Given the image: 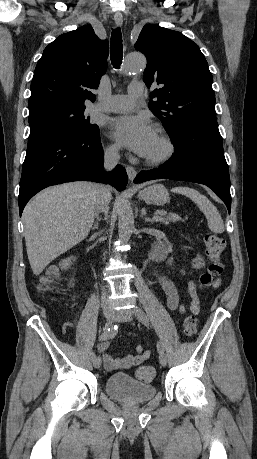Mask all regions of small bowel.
<instances>
[{"mask_svg":"<svg viewBox=\"0 0 257 459\" xmlns=\"http://www.w3.org/2000/svg\"><path fill=\"white\" fill-rule=\"evenodd\" d=\"M189 240V238H187ZM205 264V260L202 256H197L191 262V267L195 270L201 269ZM182 274H186L185 271H182ZM159 284L166 296L167 307L171 311H176L179 313H184L185 306L180 301L179 292L173 283V281L165 274L160 272H155ZM220 285V281H216L214 288H217ZM187 291L191 297L190 310L194 314L200 313V300L197 296L196 284L193 280H188L187 282ZM109 347V342L105 341L98 345V350L103 353V361L105 368L108 371H114L116 369H127L132 366H137L143 363L150 357V351L145 349L142 345H137L135 347L136 354H130L125 357L114 359L110 354L105 351Z\"/></svg>","mask_w":257,"mask_h":459,"instance_id":"1","label":"small bowel"}]
</instances>
